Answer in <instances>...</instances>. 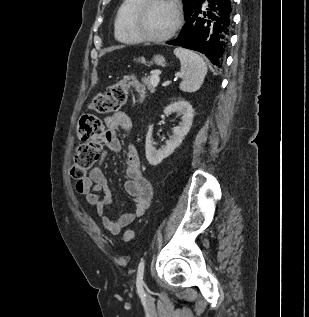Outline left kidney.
Returning a JSON list of instances; mask_svg holds the SVG:
<instances>
[{"instance_id": "left-kidney-1", "label": "left kidney", "mask_w": 309, "mask_h": 317, "mask_svg": "<svg viewBox=\"0 0 309 317\" xmlns=\"http://www.w3.org/2000/svg\"><path fill=\"white\" fill-rule=\"evenodd\" d=\"M172 113H177V115L182 116V121L178 126L173 128V135L160 149H156L153 146V125L149 126L145 141V151L148 162L153 166L160 164L165 158L174 152V150L181 144L192 126L193 108L189 102L179 100L171 103L164 109L165 115H170Z\"/></svg>"}]
</instances>
